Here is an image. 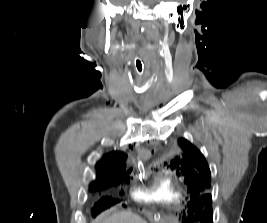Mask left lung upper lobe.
I'll return each instance as SVG.
<instances>
[{
	"mask_svg": "<svg viewBox=\"0 0 267 223\" xmlns=\"http://www.w3.org/2000/svg\"><path fill=\"white\" fill-rule=\"evenodd\" d=\"M182 152L170 161V167L178 176H183L191 193L189 206H174L167 214H189L201 223H212V199L205 194L210 188L211 173L202 153L184 138L178 140ZM191 202V201H190Z\"/></svg>",
	"mask_w": 267,
	"mask_h": 223,
	"instance_id": "5c2ea615",
	"label": "left lung upper lobe"
}]
</instances>
